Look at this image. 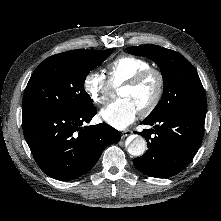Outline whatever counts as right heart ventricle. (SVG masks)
<instances>
[{
  "label": "right heart ventricle",
  "mask_w": 221,
  "mask_h": 221,
  "mask_svg": "<svg viewBox=\"0 0 221 221\" xmlns=\"http://www.w3.org/2000/svg\"><path fill=\"white\" fill-rule=\"evenodd\" d=\"M150 67L147 60L135 56H120L107 65V74L112 86L117 87L139 71Z\"/></svg>",
  "instance_id": "e07e8e85"
}]
</instances>
